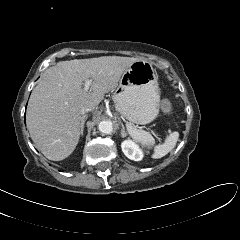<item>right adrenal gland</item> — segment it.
<instances>
[{"label":"right adrenal gland","mask_w":240,"mask_h":240,"mask_svg":"<svg viewBox=\"0 0 240 240\" xmlns=\"http://www.w3.org/2000/svg\"><path fill=\"white\" fill-rule=\"evenodd\" d=\"M87 119V115H83V120H82V127H81V135H83V131H84V123Z\"/></svg>","instance_id":"1"}]
</instances>
